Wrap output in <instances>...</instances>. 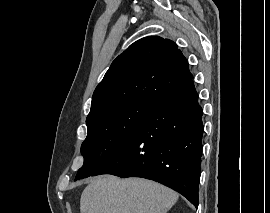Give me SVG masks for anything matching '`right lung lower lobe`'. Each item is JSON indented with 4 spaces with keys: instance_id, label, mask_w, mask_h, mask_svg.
Returning a JSON list of instances; mask_svg holds the SVG:
<instances>
[{
    "instance_id": "obj_1",
    "label": "right lung lower lobe",
    "mask_w": 270,
    "mask_h": 213,
    "mask_svg": "<svg viewBox=\"0 0 270 213\" xmlns=\"http://www.w3.org/2000/svg\"><path fill=\"white\" fill-rule=\"evenodd\" d=\"M202 115L191 80L157 103L131 138L93 176L154 180L178 191L197 208Z\"/></svg>"
}]
</instances>
